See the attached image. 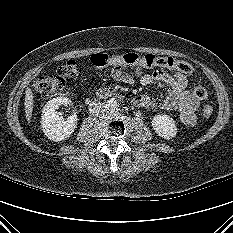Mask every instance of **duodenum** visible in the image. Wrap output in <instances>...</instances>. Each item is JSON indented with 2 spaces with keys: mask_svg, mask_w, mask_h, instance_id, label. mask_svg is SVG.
I'll return each instance as SVG.
<instances>
[{
  "mask_svg": "<svg viewBox=\"0 0 233 233\" xmlns=\"http://www.w3.org/2000/svg\"><path fill=\"white\" fill-rule=\"evenodd\" d=\"M113 95H118V94L115 93L111 89H101V90L98 91V96L99 97H108V96H113Z\"/></svg>",
  "mask_w": 233,
  "mask_h": 233,
  "instance_id": "410a0bca",
  "label": "duodenum"
}]
</instances>
